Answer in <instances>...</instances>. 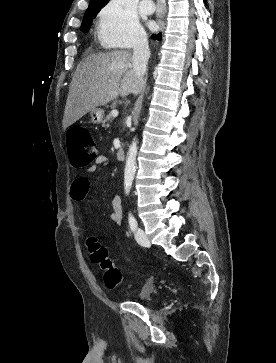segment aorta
<instances>
[{
  "label": "aorta",
  "mask_w": 276,
  "mask_h": 363,
  "mask_svg": "<svg viewBox=\"0 0 276 363\" xmlns=\"http://www.w3.org/2000/svg\"><path fill=\"white\" fill-rule=\"evenodd\" d=\"M137 149V142L133 141L129 147L124 171V190L126 194H129L130 192L135 175Z\"/></svg>",
  "instance_id": "762f6f07"
}]
</instances>
